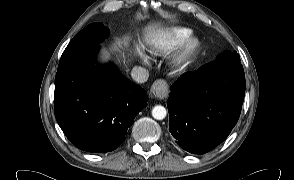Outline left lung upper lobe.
<instances>
[{
    "label": "left lung upper lobe",
    "instance_id": "1",
    "mask_svg": "<svg viewBox=\"0 0 294 180\" xmlns=\"http://www.w3.org/2000/svg\"><path fill=\"white\" fill-rule=\"evenodd\" d=\"M215 61H225V62H231V63H240L239 54L237 52H234L233 55L231 53H224L221 56L218 57ZM213 61V62H215Z\"/></svg>",
    "mask_w": 294,
    "mask_h": 180
}]
</instances>
